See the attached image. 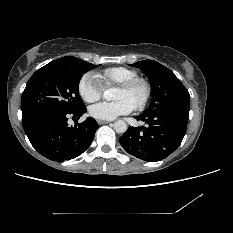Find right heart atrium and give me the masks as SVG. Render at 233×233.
Returning <instances> with one entry per match:
<instances>
[{
    "label": "right heart atrium",
    "instance_id": "obj_1",
    "mask_svg": "<svg viewBox=\"0 0 233 233\" xmlns=\"http://www.w3.org/2000/svg\"><path fill=\"white\" fill-rule=\"evenodd\" d=\"M78 92L84 101L92 103L101 99L103 87L95 75L87 73L81 78L78 84Z\"/></svg>",
    "mask_w": 233,
    "mask_h": 233
}]
</instances>
